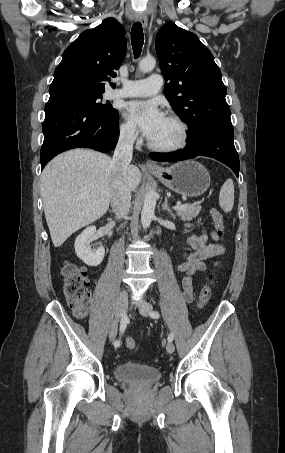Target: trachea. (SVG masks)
Wrapping results in <instances>:
<instances>
[{"label": "trachea", "instance_id": "obj_1", "mask_svg": "<svg viewBox=\"0 0 285 453\" xmlns=\"http://www.w3.org/2000/svg\"><path fill=\"white\" fill-rule=\"evenodd\" d=\"M131 41H132L134 57L138 58L140 56V53L142 51V46L144 43V35H143V29H142L141 23L137 22L132 26Z\"/></svg>", "mask_w": 285, "mask_h": 453}]
</instances>
